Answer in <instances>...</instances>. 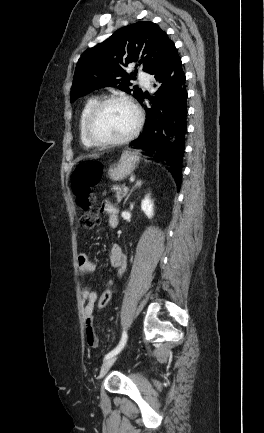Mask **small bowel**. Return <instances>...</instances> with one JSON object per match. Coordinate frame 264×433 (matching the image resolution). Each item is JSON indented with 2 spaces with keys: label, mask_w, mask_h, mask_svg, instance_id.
I'll return each mask as SVG.
<instances>
[{
  "label": "small bowel",
  "mask_w": 264,
  "mask_h": 433,
  "mask_svg": "<svg viewBox=\"0 0 264 433\" xmlns=\"http://www.w3.org/2000/svg\"><path fill=\"white\" fill-rule=\"evenodd\" d=\"M101 210L109 216V225L116 227L118 224L117 209L108 200H104L101 204ZM78 267L82 274H90L95 271V264L89 257L81 252L78 255ZM109 261L113 268H115L120 275H122L127 267V256L123 252L119 244H114L109 250ZM111 284V282H109ZM83 311L85 318V339L90 348L98 346V336L93 327V311L95 301L97 300V292L89 287H83L82 292Z\"/></svg>",
  "instance_id": "c3829d8e"
}]
</instances>
